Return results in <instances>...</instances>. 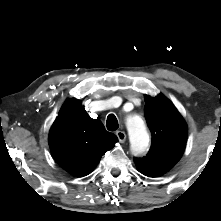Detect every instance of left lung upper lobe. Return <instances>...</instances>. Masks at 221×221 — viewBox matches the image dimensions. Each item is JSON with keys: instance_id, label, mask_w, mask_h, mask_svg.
Wrapping results in <instances>:
<instances>
[{"instance_id": "obj_1", "label": "left lung upper lobe", "mask_w": 221, "mask_h": 221, "mask_svg": "<svg viewBox=\"0 0 221 221\" xmlns=\"http://www.w3.org/2000/svg\"><path fill=\"white\" fill-rule=\"evenodd\" d=\"M144 114L152 134L147 156L134 158L139 171L148 177L166 173L181 158L187 138V125L174 105L162 94L145 95Z\"/></svg>"}]
</instances>
